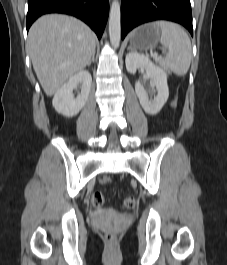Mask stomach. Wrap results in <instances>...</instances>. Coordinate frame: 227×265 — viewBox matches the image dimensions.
Listing matches in <instances>:
<instances>
[{
    "label": "stomach",
    "instance_id": "1",
    "mask_svg": "<svg viewBox=\"0 0 227 265\" xmlns=\"http://www.w3.org/2000/svg\"><path fill=\"white\" fill-rule=\"evenodd\" d=\"M160 37V29L148 24L133 31L130 36V44L134 49H153L157 46Z\"/></svg>",
    "mask_w": 227,
    "mask_h": 265
}]
</instances>
